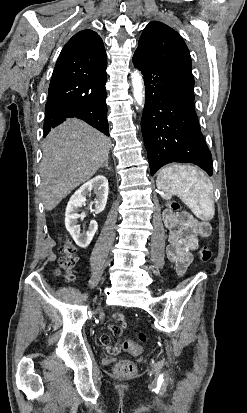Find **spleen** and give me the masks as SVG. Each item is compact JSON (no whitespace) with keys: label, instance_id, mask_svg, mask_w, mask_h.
<instances>
[{"label":"spleen","instance_id":"spleen-1","mask_svg":"<svg viewBox=\"0 0 247 413\" xmlns=\"http://www.w3.org/2000/svg\"><path fill=\"white\" fill-rule=\"evenodd\" d=\"M157 188L167 194H177L193 213L207 221L212 211L213 186L211 180L196 166L180 168L174 172L172 166H165L157 176Z\"/></svg>","mask_w":247,"mask_h":413}]
</instances>
